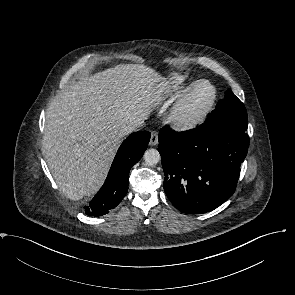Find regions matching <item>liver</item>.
<instances>
[{"mask_svg": "<svg viewBox=\"0 0 295 295\" xmlns=\"http://www.w3.org/2000/svg\"><path fill=\"white\" fill-rule=\"evenodd\" d=\"M144 64H118L86 75L50 103L43 154L62 193L80 200L102 186L125 126L147 119L168 92Z\"/></svg>", "mask_w": 295, "mask_h": 295, "instance_id": "1", "label": "liver"}]
</instances>
